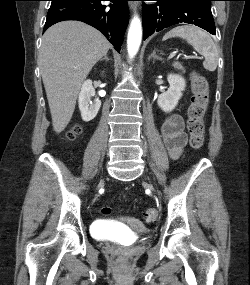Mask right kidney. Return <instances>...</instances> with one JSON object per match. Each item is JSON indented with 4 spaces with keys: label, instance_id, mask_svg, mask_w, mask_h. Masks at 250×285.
<instances>
[{
    "label": "right kidney",
    "instance_id": "right-kidney-1",
    "mask_svg": "<svg viewBox=\"0 0 250 285\" xmlns=\"http://www.w3.org/2000/svg\"><path fill=\"white\" fill-rule=\"evenodd\" d=\"M95 95V89L93 88L92 81L86 80L82 84L78 104L83 121L88 122L93 120L101 106V101L97 98L94 103L91 102V98Z\"/></svg>",
    "mask_w": 250,
    "mask_h": 285
}]
</instances>
